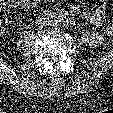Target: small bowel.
I'll return each mask as SVG.
<instances>
[{"label":"small bowel","mask_w":113,"mask_h":113,"mask_svg":"<svg viewBox=\"0 0 113 113\" xmlns=\"http://www.w3.org/2000/svg\"><path fill=\"white\" fill-rule=\"evenodd\" d=\"M39 1L40 0H36V1L24 0V4L26 7H32L36 5ZM98 1L100 3V7L90 15V22L93 25L98 26L102 33L108 36H113V20L110 22H106V17H105L107 3L110 0H98ZM72 10L79 12L80 7L77 5H74L72 6Z\"/></svg>","instance_id":"1"}]
</instances>
